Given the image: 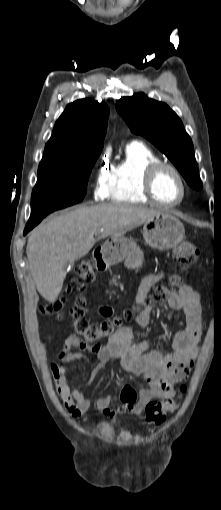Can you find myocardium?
Returning <instances> with one entry per match:
<instances>
[{"label":"myocardium","mask_w":221,"mask_h":510,"mask_svg":"<svg viewBox=\"0 0 221 510\" xmlns=\"http://www.w3.org/2000/svg\"><path fill=\"white\" fill-rule=\"evenodd\" d=\"M163 169H168L172 171L180 182L182 194L180 199L176 202L173 203L162 202L157 198L155 194L154 182L159 172L162 171ZM142 189L146 197L153 204L164 208H171L180 205L181 203H183L187 196V184L181 172L173 164L161 160L151 162L144 168L142 176Z\"/></svg>","instance_id":"obj_1"}]
</instances>
